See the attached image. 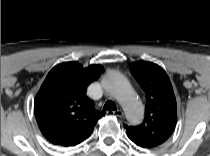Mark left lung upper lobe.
<instances>
[{
	"label": "left lung upper lobe",
	"instance_id": "left-lung-upper-lobe-1",
	"mask_svg": "<svg viewBox=\"0 0 210 156\" xmlns=\"http://www.w3.org/2000/svg\"><path fill=\"white\" fill-rule=\"evenodd\" d=\"M130 72L146 93V106L143 123L135 127L126 126L127 135L140 147H156L170 137L176 125L172 85L165 71L151 62H134Z\"/></svg>",
	"mask_w": 210,
	"mask_h": 156
}]
</instances>
